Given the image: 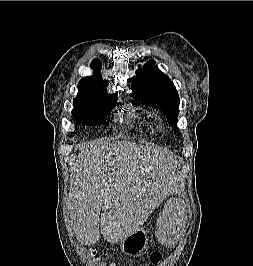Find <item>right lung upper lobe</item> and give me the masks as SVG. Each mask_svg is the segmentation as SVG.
<instances>
[{"label":"right lung upper lobe","mask_w":253,"mask_h":266,"mask_svg":"<svg viewBox=\"0 0 253 266\" xmlns=\"http://www.w3.org/2000/svg\"><path fill=\"white\" fill-rule=\"evenodd\" d=\"M91 67L94 69L92 77L82 78L78 84V95L73 99L74 105H84L89 103L100 102L116 97L106 93L105 86L101 74L99 73L101 63L98 59H94Z\"/></svg>","instance_id":"1"}]
</instances>
